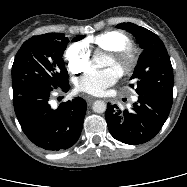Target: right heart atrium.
I'll return each mask as SVG.
<instances>
[{
  "label": "right heart atrium",
  "instance_id": "right-heart-atrium-1",
  "mask_svg": "<svg viewBox=\"0 0 187 187\" xmlns=\"http://www.w3.org/2000/svg\"><path fill=\"white\" fill-rule=\"evenodd\" d=\"M65 60L69 70L78 74L85 71L90 64V48L87 42H75L65 52Z\"/></svg>",
  "mask_w": 187,
  "mask_h": 187
}]
</instances>
